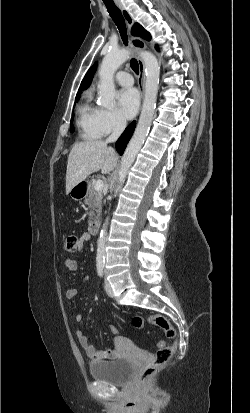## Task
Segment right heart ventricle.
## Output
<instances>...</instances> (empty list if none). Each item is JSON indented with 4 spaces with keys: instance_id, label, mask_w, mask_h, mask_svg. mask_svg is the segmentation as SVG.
<instances>
[{
    "instance_id": "e07e8e85",
    "label": "right heart ventricle",
    "mask_w": 250,
    "mask_h": 413,
    "mask_svg": "<svg viewBox=\"0 0 250 413\" xmlns=\"http://www.w3.org/2000/svg\"><path fill=\"white\" fill-rule=\"evenodd\" d=\"M99 109L92 103V94L86 92L78 108L77 127L80 138L92 140L101 137L98 124Z\"/></svg>"
}]
</instances>
